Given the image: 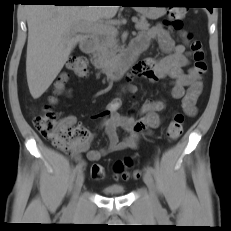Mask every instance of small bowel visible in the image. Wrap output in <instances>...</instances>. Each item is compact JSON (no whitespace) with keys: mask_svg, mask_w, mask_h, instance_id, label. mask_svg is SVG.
Returning a JSON list of instances; mask_svg holds the SVG:
<instances>
[{"mask_svg":"<svg viewBox=\"0 0 231 231\" xmlns=\"http://www.w3.org/2000/svg\"><path fill=\"white\" fill-rule=\"evenodd\" d=\"M182 36L186 42L185 33ZM153 42L158 44L161 56L158 59L146 58L138 62L134 65L128 80L141 77L150 82H157L169 78L172 97L182 101L183 109L188 115H195V104L201 92V84L198 82V74L194 69L184 71V67L189 63L186 45L175 43L170 33L162 25H156L139 35L132 50L145 51ZM125 90L134 93L136 87L128 83ZM121 104V99L116 97L99 115L102 118L100 126L106 130L109 138L107 148L90 150L93 134L89 132L84 139L69 146L68 149L78 164L85 165V161L82 159L83 153H87L89 161L95 162L109 153L135 149L138 146L140 133L146 129L157 128L162 121L161 113L165 108L163 100H147L141 107L139 118L132 115H121L119 113ZM61 122L73 126L76 123V117L68 115L62 118ZM120 130L124 132L123 137H120Z\"/></svg>","mask_w":231,"mask_h":231,"instance_id":"obj_1","label":"small bowel"}]
</instances>
